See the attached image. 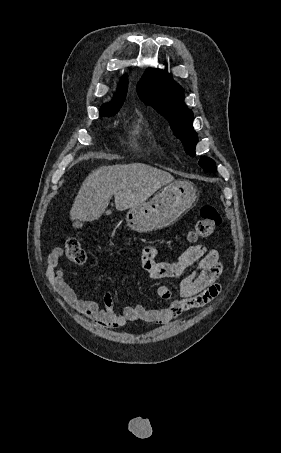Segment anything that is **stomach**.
<instances>
[{
    "instance_id": "0dacf381",
    "label": "stomach",
    "mask_w": 281,
    "mask_h": 453,
    "mask_svg": "<svg viewBox=\"0 0 281 453\" xmlns=\"http://www.w3.org/2000/svg\"><path fill=\"white\" fill-rule=\"evenodd\" d=\"M198 198V190L188 180H174L163 186L149 202H141L126 214L127 227L136 233H151L170 227L179 216L191 208Z\"/></svg>"
}]
</instances>
